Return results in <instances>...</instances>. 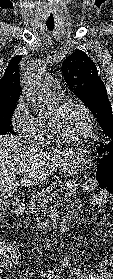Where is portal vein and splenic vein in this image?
Segmentation results:
<instances>
[{
	"mask_svg": "<svg viewBox=\"0 0 113 279\" xmlns=\"http://www.w3.org/2000/svg\"><path fill=\"white\" fill-rule=\"evenodd\" d=\"M22 173H23L22 171H19V172H18V175L21 176ZM55 195H56V193L51 194L50 196L47 197V200H52V197H54Z\"/></svg>",
	"mask_w": 113,
	"mask_h": 279,
	"instance_id": "obj_1",
	"label": "portal vein and splenic vein"
}]
</instances>
